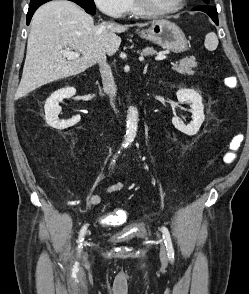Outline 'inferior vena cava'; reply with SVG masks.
Returning <instances> with one entry per match:
<instances>
[{
    "mask_svg": "<svg viewBox=\"0 0 249 294\" xmlns=\"http://www.w3.org/2000/svg\"><path fill=\"white\" fill-rule=\"evenodd\" d=\"M99 66H100V73L102 77L104 92L109 95L111 100H114L117 89H116L111 68L106 62L105 54L101 57L99 61Z\"/></svg>",
    "mask_w": 249,
    "mask_h": 294,
    "instance_id": "inferior-vena-cava-1",
    "label": "inferior vena cava"
}]
</instances>
